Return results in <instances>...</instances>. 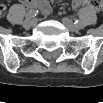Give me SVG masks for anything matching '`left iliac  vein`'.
I'll list each match as a JSON object with an SVG mask.
<instances>
[{
    "instance_id": "obj_1",
    "label": "left iliac vein",
    "mask_w": 103,
    "mask_h": 103,
    "mask_svg": "<svg viewBox=\"0 0 103 103\" xmlns=\"http://www.w3.org/2000/svg\"><path fill=\"white\" fill-rule=\"evenodd\" d=\"M62 23L70 32H76L78 30V27L67 17L62 18Z\"/></svg>"
}]
</instances>
